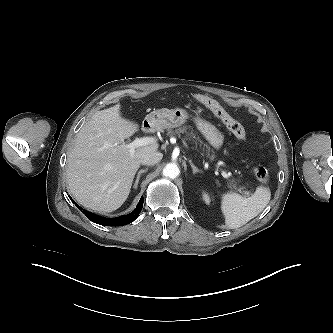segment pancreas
Masks as SVG:
<instances>
[{
	"label": "pancreas",
	"mask_w": 333,
	"mask_h": 333,
	"mask_svg": "<svg viewBox=\"0 0 333 333\" xmlns=\"http://www.w3.org/2000/svg\"><path fill=\"white\" fill-rule=\"evenodd\" d=\"M189 128L187 127V126H184V127H182V128H178V129H176L175 131H173V130H168V135H172V134H178V135H180L181 133H185V134H187V135H190L191 136V138L194 140V143H195V145L197 146L198 144H199V146H200V148H201V146L202 145H204V147H206V149H207V151H209L210 150V148L207 146V145H205V144H203V141L199 138V137H197L196 136V134L193 132V130L192 129H189ZM228 186L231 188V189H237V185H236V183H235V181L234 180H232V181H230L229 183H228ZM239 190V189H238Z\"/></svg>",
	"instance_id": "1"
}]
</instances>
